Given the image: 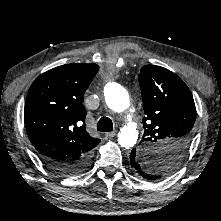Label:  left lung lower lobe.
<instances>
[{"label":"left lung lower lobe","mask_w":221,"mask_h":221,"mask_svg":"<svg viewBox=\"0 0 221 221\" xmlns=\"http://www.w3.org/2000/svg\"><path fill=\"white\" fill-rule=\"evenodd\" d=\"M130 161L133 172L138 177L149 180L148 178L150 177V175L146 171V166L145 164L141 163L139 155L135 149L131 152Z\"/></svg>","instance_id":"left-lung-lower-lobe-1"}]
</instances>
